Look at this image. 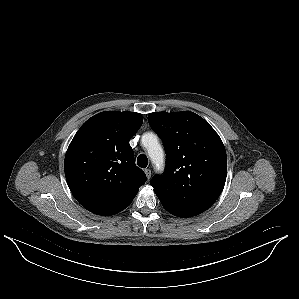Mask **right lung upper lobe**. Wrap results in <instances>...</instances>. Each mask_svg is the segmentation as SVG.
Listing matches in <instances>:
<instances>
[{
	"instance_id": "1",
	"label": "right lung upper lobe",
	"mask_w": 299,
	"mask_h": 299,
	"mask_svg": "<svg viewBox=\"0 0 299 299\" xmlns=\"http://www.w3.org/2000/svg\"><path fill=\"white\" fill-rule=\"evenodd\" d=\"M142 123L139 113L106 111L75 134L65 155V176L74 197L90 212L110 216L122 211L146 182L129 144Z\"/></svg>"
}]
</instances>
